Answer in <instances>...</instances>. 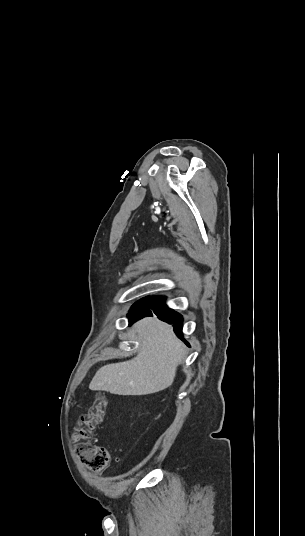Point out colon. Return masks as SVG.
<instances>
[{"instance_id":"5ec220e1","label":"colon","mask_w":305,"mask_h":536,"mask_svg":"<svg viewBox=\"0 0 305 536\" xmlns=\"http://www.w3.org/2000/svg\"><path fill=\"white\" fill-rule=\"evenodd\" d=\"M106 410V399L99 396L95 399L89 411L82 414L77 421L74 441L81 444L77 446V459L79 462H88L90 471H102L109 462V451L104 445L84 443L91 439L97 426L102 422Z\"/></svg>"}]
</instances>
